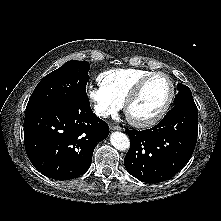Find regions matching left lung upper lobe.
I'll return each instance as SVG.
<instances>
[{
  "label": "left lung upper lobe",
  "instance_id": "obj_1",
  "mask_svg": "<svg viewBox=\"0 0 221 221\" xmlns=\"http://www.w3.org/2000/svg\"><path fill=\"white\" fill-rule=\"evenodd\" d=\"M189 104H195L192 93L189 89V87L178 84V94L176 95L174 99V105H189Z\"/></svg>",
  "mask_w": 221,
  "mask_h": 221
}]
</instances>
